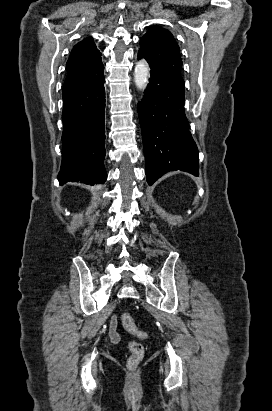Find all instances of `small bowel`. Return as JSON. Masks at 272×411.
I'll list each match as a JSON object with an SVG mask.
<instances>
[{
    "label": "small bowel",
    "mask_w": 272,
    "mask_h": 411,
    "mask_svg": "<svg viewBox=\"0 0 272 411\" xmlns=\"http://www.w3.org/2000/svg\"><path fill=\"white\" fill-rule=\"evenodd\" d=\"M117 326H118L117 317L113 316L110 320V325H109V337L113 344H117L120 341V336L117 331Z\"/></svg>",
    "instance_id": "small-bowel-1"
}]
</instances>
